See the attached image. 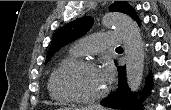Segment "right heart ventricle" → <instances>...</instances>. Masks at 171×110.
I'll list each match as a JSON object with an SVG mask.
<instances>
[{
  "label": "right heart ventricle",
  "instance_id": "obj_1",
  "mask_svg": "<svg viewBox=\"0 0 171 110\" xmlns=\"http://www.w3.org/2000/svg\"><path fill=\"white\" fill-rule=\"evenodd\" d=\"M78 56V54L76 52H74L73 50L70 51V53L64 57L58 64L57 66L53 69V71L51 72L49 79H48V83H47V87H48V91L49 94L51 96L52 99L58 101V102H62V103H66L69 102L70 100L65 98L64 96H62L55 85V76L56 73L58 71V69L66 62L76 59Z\"/></svg>",
  "mask_w": 171,
  "mask_h": 110
}]
</instances>
